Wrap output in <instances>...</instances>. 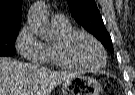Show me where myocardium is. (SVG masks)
<instances>
[{
  "instance_id": "f54148a6",
  "label": "myocardium",
  "mask_w": 135,
  "mask_h": 95,
  "mask_svg": "<svg viewBox=\"0 0 135 95\" xmlns=\"http://www.w3.org/2000/svg\"><path fill=\"white\" fill-rule=\"evenodd\" d=\"M78 36H85L90 40H92L97 45L102 55V62L100 65L94 67H88V66L78 64L68 57L67 49L70 46V44L73 42V40ZM54 54L57 61L62 66L79 69L83 71H91V72L101 70L105 66L107 60V53L103 44L95 36L83 30H72L66 35L60 37L54 44Z\"/></svg>"
}]
</instances>
